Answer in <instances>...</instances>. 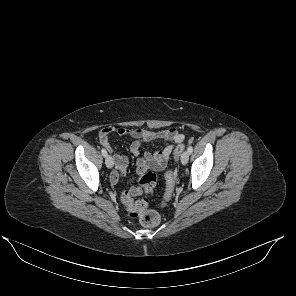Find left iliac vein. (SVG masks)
Instances as JSON below:
<instances>
[{
  "label": "left iliac vein",
  "instance_id": "left-iliac-vein-1",
  "mask_svg": "<svg viewBox=\"0 0 296 296\" xmlns=\"http://www.w3.org/2000/svg\"><path fill=\"white\" fill-rule=\"evenodd\" d=\"M189 160V152L188 151H184L181 155V163L183 165H186L188 163Z\"/></svg>",
  "mask_w": 296,
  "mask_h": 296
}]
</instances>
